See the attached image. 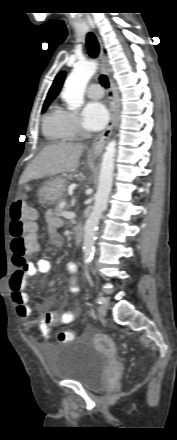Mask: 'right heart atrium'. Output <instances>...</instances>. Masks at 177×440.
Returning <instances> with one entry per match:
<instances>
[{"instance_id":"right-heart-atrium-1","label":"right heart atrium","mask_w":177,"mask_h":440,"mask_svg":"<svg viewBox=\"0 0 177 440\" xmlns=\"http://www.w3.org/2000/svg\"><path fill=\"white\" fill-rule=\"evenodd\" d=\"M63 124L69 137H74L82 133V127L78 116L70 111L62 110Z\"/></svg>"}]
</instances>
